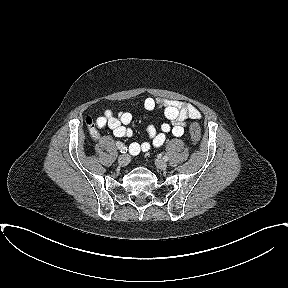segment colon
<instances>
[{"label": "colon", "instance_id": "colon-1", "mask_svg": "<svg viewBox=\"0 0 288 288\" xmlns=\"http://www.w3.org/2000/svg\"><path fill=\"white\" fill-rule=\"evenodd\" d=\"M86 123L90 127L92 135H95L96 131L94 129V125L92 123L91 118H87ZM189 134H190L191 141L194 144H198L199 141L201 140V129H200V126L198 125V123H192L191 124L190 129H189Z\"/></svg>", "mask_w": 288, "mask_h": 288}]
</instances>
